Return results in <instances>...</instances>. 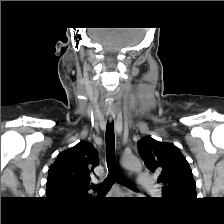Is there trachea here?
<instances>
[{"instance_id":"3493384b","label":"trachea","mask_w":224,"mask_h":224,"mask_svg":"<svg viewBox=\"0 0 224 224\" xmlns=\"http://www.w3.org/2000/svg\"><path fill=\"white\" fill-rule=\"evenodd\" d=\"M106 159L109 174L103 183L93 186L92 188L98 192V194L107 193L112 185L117 181L121 184L135 189L131 182L124 176L119 170L116 157H115V134L113 121L107 124L106 127Z\"/></svg>"}]
</instances>
